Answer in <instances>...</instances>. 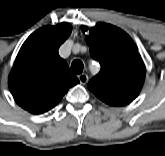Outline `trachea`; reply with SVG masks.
Instances as JSON below:
<instances>
[{
	"instance_id": "trachea-1",
	"label": "trachea",
	"mask_w": 165,
	"mask_h": 156,
	"mask_svg": "<svg viewBox=\"0 0 165 156\" xmlns=\"http://www.w3.org/2000/svg\"><path fill=\"white\" fill-rule=\"evenodd\" d=\"M83 62L81 60H74L71 64L72 74H81L83 72Z\"/></svg>"
}]
</instances>
